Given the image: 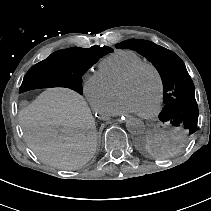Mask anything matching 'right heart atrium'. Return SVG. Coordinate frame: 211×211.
Listing matches in <instances>:
<instances>
[{"label":"right heart atrium","mask_w":211,"mask_h":211,"mask_svg":"<svg viewBox=\"0 0 211 211\" xmlns=\"http://www.w3.org/2000/svg\"><path fill=\"white\" fill-rule=\"evenodd\" d=\"M82 88L96 112L105 111L114 97L113 88L105 82L98 72L86 77L83 80Z\"/></svg>","instance_id":"right-heart-atrium-1"}]
</instances>
